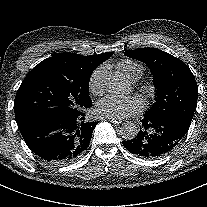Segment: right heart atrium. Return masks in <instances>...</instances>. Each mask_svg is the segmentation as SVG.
Here are the masks:
<instances>
[{
	"instance_id": "right-heart-atrium-1",
	"label": "right heart atrium",
	"mask_w": 207,
	"mask_h": 207,
	"mask_svg": "<svg viewBox=\"0 0 207 207\" xmlns=\"http://www.w3.org/2000/svg\"><path fill=\"white\" fill-rule=\"evenodd\" d=\"M108 70L109 64L103 63L92 72L89 79V88L93 94L101 95L104 92Z\"/></svg>"
}]
</instances>
